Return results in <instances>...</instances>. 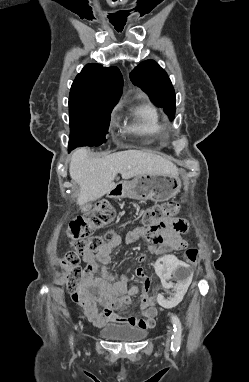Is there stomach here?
I'll return each instance as SVG.
<instances>
[{"mask_svg": "<svg viewBox=\"0 0 249 382\" xmlns=\"http://www.w3.org/2000/svg\"><path fill=\"white\" fill-rule=\"evenodd\" d=\"M180 189L181 180L178 175L143 174L136 176L132 181L118 180L109 192V197L162 202L174 197Z\"/></svg>", "mask_w": 249, "mask_h": 382, "instance_id": "stomach-1", "label": "stomach"}]
</instances>
